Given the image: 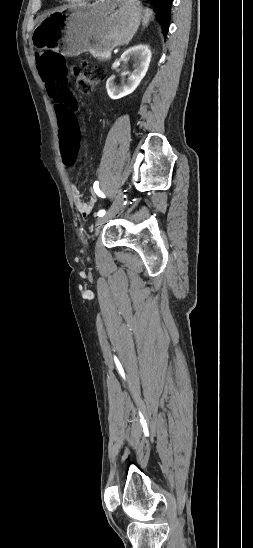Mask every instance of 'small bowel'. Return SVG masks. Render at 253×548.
I'll list each match as a JSON object with an SVG mask.
<instances>
[{
    "label": "small bowel",
    "mask_w": 253,
    "mask_h": 548,
    "mask_svg": "<svg viewBox=\"0 0 253 548\" xmlns=\"http://www.w3.org/2000/svg\"><path fill=\"white\" fill-rule=\"evenodd\" d=\"M61 60H64L63 58ZM41 75V74H40ZM61 130V128H60ZM77 147H78V139H77ZM71 193L73 196L74 204L76 206V209L80 212L81 215L84 217L88 216L92 209L94 208L96 204V199L91 198L89 201H85L79 187L76 184H71Z\"/></svg>",
    "instance_id": "c3829d8e"
}]
</instances>
